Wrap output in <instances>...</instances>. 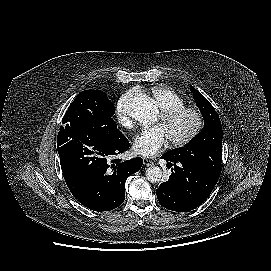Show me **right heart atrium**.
I'll return each instance as SVG.
<instances>
[{"mask_svg": "<svg viewBox=\"0 0 271 271\" xmlns=\"http://www.w3.org/2000/svg\"><path fill=\"white\" fill-rule=\"evenodd\" d=\"M135 91H129L123 94L117 101L116 104V117L119 124L125 128L132 127V120L127 110V105L134 97Z\"/></svg>", "mask_w": 271, "mask_h": 271, "instance_id": "1", "label": "right heart atrium"}]
</instances>
